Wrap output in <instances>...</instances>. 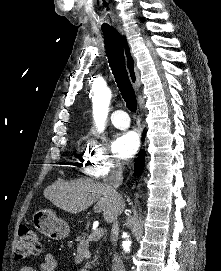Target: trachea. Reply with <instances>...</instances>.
<instances>
[{"label": "trachea", "mask_w": 221, "mask_h": 271, "mask_svg": "<svg viewBox=\"0 0 221 271\" xmlns=\"http://www.w3.org/2000/svg\"><path fill=\"white\" fill-rule=\"evenodd\" d=\"M102 31L104 33V44L108 61L119 91L127 108L132 112H136L137 100L125 66L121 37L117 30L112 27L102 28Z\"/></svg>", "instance_id": "trachea-1"}]
</instances>
